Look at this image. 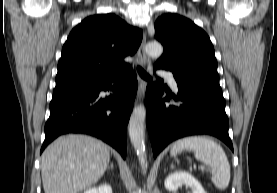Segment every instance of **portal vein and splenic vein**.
Wrapping results in <instances>:
<instances>
[{
    "instance_id": "1",
    "label": "portal vein and splenic vein",
    "mask_w": 277,
    "mask_h": 193,
    "mask_svg": "<svg viewBox=\"0 0 277 193\" xmlns=\"http://www.w3.org/2000/svg\"><path fill=\"white\" fill-rule=\"evenodd\" d=\"M198 168L201 170H209L205 165H200Z\"/></svg>"
}]
</instances>
